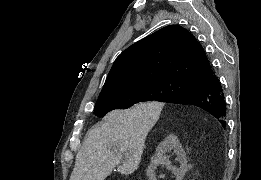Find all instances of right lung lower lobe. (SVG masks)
Returning <instances> with one entry per match:
<instances>
[{
  "instance_id": "right-lung-lower-lobe-1",
  "label": "right lung lower lobe",
  "mask_w": 261,
  "mask_h": 180,
  "mask_svg": "<svg viewBox=\"0 0 261 180\" xmlns=\"http://www.w3.org/2000/svg\"><path fill=\"white\" fill-rule=\"evenodd\" d=\"M166 102L195 105L209 112L223 126L226 124L225 97L222 85L214 72L203 77L196 89L177 95Z\"/></svg>"
}]
</instances>
